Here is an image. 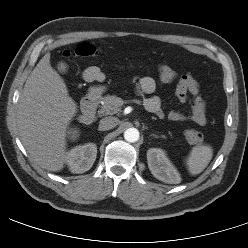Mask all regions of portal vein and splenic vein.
<instances>
[{"instance_id":"18ae733b","label":"portal vein and splenic vein","mask_w":248,"mask_h":248,"mask_svg":"<svg viewBox=\"0 0 248 248\" xmlns=\"http://www.w3.org/2000/svg\"><path fill=\"white\" fill-rule=\"evenodd\" d=\"M119 103H121V104H122V103H123V101H120V100H119Z\"/></svg>"}]
</instances>
